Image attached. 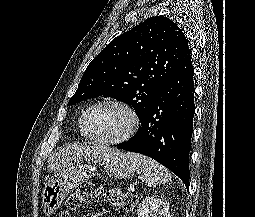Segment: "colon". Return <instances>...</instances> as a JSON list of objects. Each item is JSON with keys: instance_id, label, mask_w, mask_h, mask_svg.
<instances>
[{"instance_id": "obj_1", "label": "colon", "mask_w": 255, "mask_h": 217, "mask_svg": "<svg viewBox=\"0 0 255 217\" xmlns=\"http://www.w3.org/2000/svg\"><path fill=\"white\" fill-rule=\"evenodd\" d=\"M95 201H107L115 207L132 211L137 198L133 193L123 192L118 188L107 189L103 186L93 187L87 184L69 195L67 199L69 210L62 212L60 217H72L69 211L78 210L83 205Z\"/></svg>"}]
</instances>
